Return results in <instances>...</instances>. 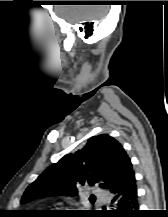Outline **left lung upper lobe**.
<instances>
[{"mask_svg": "<svg viewBox=\"0 0 168 217\" xmlns=\"http://www.w3.org/2000/svg\"><path fill=\"white\" fill-rule=\"evenodd\" d=\"M131 172L130 158L117 140L106 134L93 136L79 150L47 168L27 187L21 202L52 195L75 196L84 185L111 192L121 187Z\"/></svg>", "mask_w": 168, "mask_h": 217, "instance_id": "1", "label": "left lung upper lobe"}]
</instances>
